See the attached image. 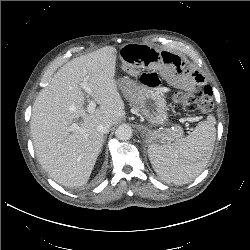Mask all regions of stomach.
<instances>
[{"mask_svg": "<svg viewBox=\"0 0 250 250\" xmlns=\"http://www.w3.org/2000/svg\"><path fill=\"white\" fill-rule=\"evenodd\" d=\"M152 47V46H151ZM138 80L122 84V91L134 108L140 110L147 119L163 124L167 120L164 88L156 75L136 76ZM183 134L180 126L165 127L155 133L153 140L172 141Z\"/></svg>", "mask_w": 250, "mask_h": 250, "instance_id": "obj_1", "label": "stomach"}]
</instances>
